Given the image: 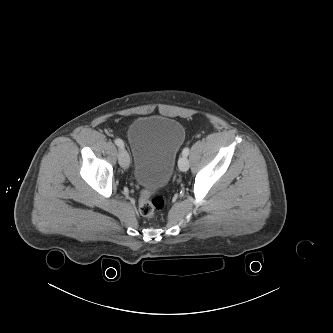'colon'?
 Wrapping results in <instances>:
<instances>
[{"label": "colon", "mask_w": 333, "mask_h": 333, "mask_svg": "<svg viewBox=\"0 0 333 333\" xmlns=\"http://www.w3.org/2000/svg\"><path fill=\"white\" fill-rule=\"evenodd\" d=\"M165 207V200L155 190H144L139 198V212L143 217L154 218Z\"/></svg>", "instance_id": "colon-1"}]
</instances>
